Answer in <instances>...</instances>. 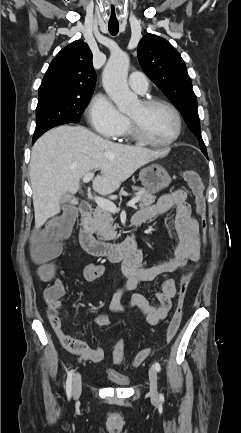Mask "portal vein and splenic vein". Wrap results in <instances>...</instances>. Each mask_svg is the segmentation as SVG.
Listing matches in <instances>:
<instances>
[{"label":"portal vein and splenic vein","instance_id":"obj_1","mask_svg":"<svg viewBox=\"0 0 241 433\" xmlns=\"http://www.w3.org/2000/svg\"><path fill=\"white\" fill-rule=\"evenodd\" d=\"M93 176H94V173H93V172H89V173H87V174L83 177V179H82L83 183H88L89 181H91V179L93 178ZM139 200H140V197L137 196V197L133 198L132 200H130V201L127 203V206H129V207H133V206H135V204H136ZM95 202H96V204H97L99 207H101V208H103V209H105V210H108V211H110L111 213H116V212L118 211L116 205H115L113 202H111L110 200H107V199H105V198H102V197H98V196H96V197H95Z\"/></svg>","mask_w":241,"mask_h":433}]
</instances>
